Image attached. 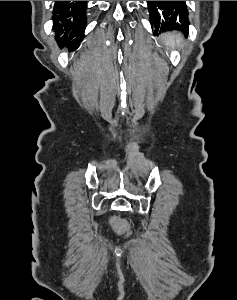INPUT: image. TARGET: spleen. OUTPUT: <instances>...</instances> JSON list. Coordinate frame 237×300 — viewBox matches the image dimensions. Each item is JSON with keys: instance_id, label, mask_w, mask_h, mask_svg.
Wrapping results in <instances>:
<instances>
[{"instance_id": "3e777b00", "label": "spleen", "mask_w": 237, "mask_h": 300, "mask_svg": "<svg viewBox=\"0 0 237 300\" xmlns=\"http://www.w3.org/2000/svg\"><path fill=\"white\" fill-rule=\"evenodd\" d=\"M164 45L166 47H171V49H175L178 43H181L182 37L181 35H174V33H167V35H163Z\"/></svg>"}]
</instances>
